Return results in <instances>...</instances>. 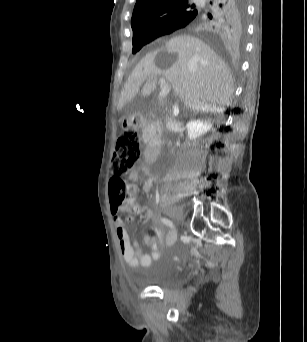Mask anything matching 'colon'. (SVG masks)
Here are the masks:
<instances>
[{
    "mask_svg": "<svg viewBox=\"0 0 307 342\" xmlns=\"http://www.w3.org/2000/svg\"><path fill=\"white\" fill-rule=\"evenodd\" d=\"M141 154V139L135 131L123 132L117 141V147L114 152L113 162V177L110 186V198L114 206L116 205V190H123V204H130V211L127 214V219H132L133 213L138 211L136 202L131 198L124 183V176L133 171L140 158Z\"/></svg>",
    "mask_w": 307,
    "mask_h": 342,
    "instance_id": "1",
    "label": "colon"
}]
</instances>
